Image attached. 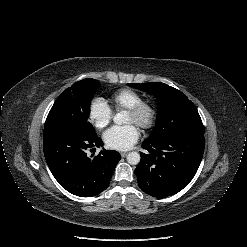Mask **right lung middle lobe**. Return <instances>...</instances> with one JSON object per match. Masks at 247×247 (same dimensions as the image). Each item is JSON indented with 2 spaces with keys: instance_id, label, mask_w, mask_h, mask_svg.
<instances>
[{
  "instance_id": "obj_1",
  "label": "right lung middle lobe",
  "mask_w": 247,
  "mask_h": 247,
  "mask_svg": "<svg viewBox=\"0 0 247 247\" xmlns=\"http://www.w3.org/2000/svg\"><path fill=\"white\" fill-rule=\"evenodd\" d=\"M100 83L95 79H84L64 90L52 106L44 129L52 127H73L89 135H96L88 121L90 104Z\"/></svg>"
}]
</instances>
